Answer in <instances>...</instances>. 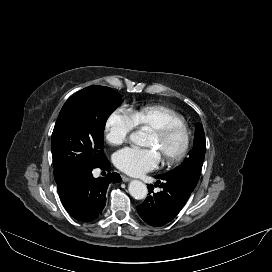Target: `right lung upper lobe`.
Returning <instances> with one entry per match:
<instances>
[{"instance_id":"1","label":"right lung upper lobe","mask_w":272,"mask_h":272,"mask_svg":"<svg viewBox=\"0 0 272 272\" xmlns=\"http://www.w3.org/2000/svg\"><path fill=\"white\" fill-rule=\"evenodd\" d=\"M55 181L57 183L58 189H60L69 181V179L68 178H58V177H56Z\"/></svg>"}]
</instances>
